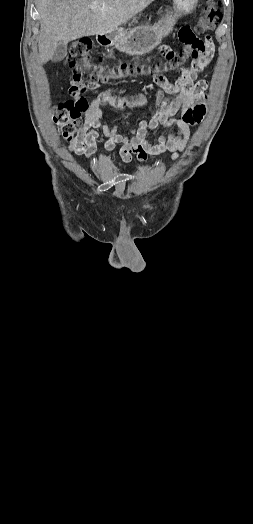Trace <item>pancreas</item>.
<instances>
[{
	"label": "pancreas",
	"mask_w": 253,
	"mask_h": 524,
	"mask_svg": "<svg viewBox=\"0 0 253 524\" xmlns=\"http://www.w3.org/2000/svg\"><path fill=\"white\" fill-rule=\"evenodd\" d=\"M136 21H137L136 18H134V19H133V22H136Z\"/></svg>",
	"instance_id": "1"
}]
</instances>
